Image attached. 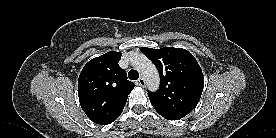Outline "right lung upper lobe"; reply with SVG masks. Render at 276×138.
Instances as JSON below:
<instances>
[{
    "instance_id": "cb5924a9",
    "label": "right lung upper lobe",
    "mask_w": 276,
    "mask_h": 138,
    "mask_svg": "<svg viewBox=\"0 0 276 138\" xmlns=\"http://www.w3.org/2000/svg\"><path fill=\"white\" fill-rule=\"evenodd\" d=\"M120 58L119 52H107L90 60L80 73L79 102L94 123L107 125L116 120L135 87L118 65Z\"/></svg>"
}]
</instances>
